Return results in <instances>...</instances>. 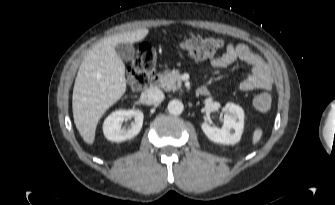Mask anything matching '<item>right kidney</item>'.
Masks as SVG:
<instances>
[{"label":"right kidney","instance_id":"right-kidney-1","mask_svg":"<svg viewBox=\"0 0 335 205\" xmlns=\"http://www.w3.org/2000/svg\"><path fill=\"white\" fill-rule=\"evenodd\" d=\"M130 117L134 118L131 127H122L123 121ZM143 118V112L140 110H117L105 119L103 133L108 140L113 142H122L131 139L140 132Z\"/></svg>","mask_w":335,"mask_h":205}]
</instances>
